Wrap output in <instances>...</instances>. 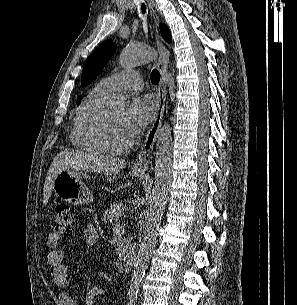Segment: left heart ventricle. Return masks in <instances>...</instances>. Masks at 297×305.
<instances>
[{"mask_svg": "<svg viewBox=\"0 0 297 305\" xmlns=\"http://www.w3.org/2000/svg\"><path fill=\"white\" fill-rule=\"evenodd\" d=\"M123 116L124 113L122 111H109L111 137L112 140L117 144H123L131 139L123 127Z\"/></svg>", "mask_w": 297, "mask_h": 305, "instance_id": "b2bd125f", "label": "left heart ventricle"}]
</instances>
